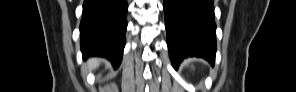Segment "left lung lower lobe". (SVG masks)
Returning <instances> with one entry per match:
<instances>
[{
    "mask_svg": "<svg viewBox=\"0 0 296 92\" xmlns=\"http://www.w3.org/2000/svg\"><path fill=\"white\" fill-rule=\"evenodd\" d=\"M213 0H164L167 45L175 68L185 57H203L212 65L216 53Z\"/></svg>",
    "mask_w": 296,
    "mask_h": 92,
    "instance_id": "left-lung-lower-lobe-1",
    "label": "left lung lower lobe"
}]
</instances>
